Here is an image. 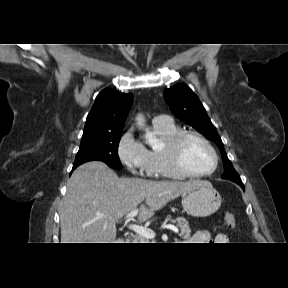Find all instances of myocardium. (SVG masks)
I'll use <instances>...</instances> for the list:
<instances>
[{
	"instance_id": "obj_1",
	"label": "myocardium",
	"mask_w": 288,
	"mask_h": 288,
	"mask_svg": "<svg viewBox=\"0 0 288 288\" xmlns=\"http://www.w3.org/2000/svg\"><path fill=\"white\" fill-rule=\"evenodd\" d=\"M194 138L202 142L212 153L214 157L213 168L206 173H193L187 170L182 161V148L184 143ZM163 152L170 167L181 177L187 178H206L213 175L219 166V155L210 143V141L198 132L194 131H180L170 141H168L163 148Z\"/></svg>"
}]
</instances>
